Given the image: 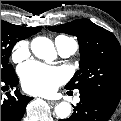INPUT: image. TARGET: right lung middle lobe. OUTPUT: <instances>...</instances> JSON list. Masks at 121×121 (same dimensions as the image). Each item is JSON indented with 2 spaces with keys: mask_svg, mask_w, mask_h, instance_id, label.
I'll use <instances>...</instances> for the list:
<instances>
[{
  "mask_svg": "<svg viewBox=\"0 0 121 121\" xmlns=\"http://www.w3.org/2000/svg\"><path fill=\"white\" fill-rule=\"evenodd\" d=\"M27 37L24 27L1 20V78L14 71L12 65L9 64L11 49L17 41Z\"/></svg>",
  "mask_w": 121,
  "mask_h": 121,
  "instance_id": "1",
  "label": "right lung middle lobe"
}]
</instances>
